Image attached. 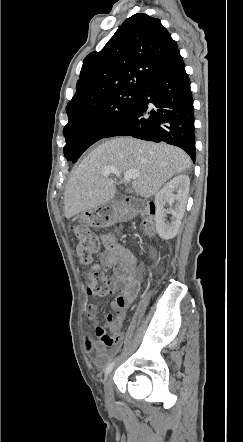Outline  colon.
<instances>
[{"label":"colon","mask_w":243,"mask_h":442,"mask_svg":"<svg viewBox=\"0 0 243 442\" xmlns=\"http://www.w3.org/2000/svg\"><path fill=\"white\" fill-rule=\"evenodd\" d=\"M141 215L151 217L154 213L153 204L138 203ZM77 239V255L80 262L90 265L86 272L85 288L90 295L104 296L113 292L104 271L96 265H92V256L97 253L100 246L98 235L93 233L90 227L84 223H78L71 227Z\"/></svg>","instance_id":"obj_1"}]
</instances>
